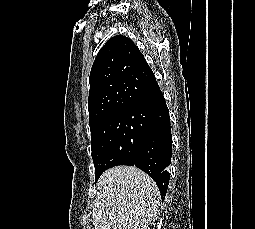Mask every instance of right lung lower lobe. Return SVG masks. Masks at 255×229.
<instances>
[{
    "instance_id": "obj_1",
    "label": "right lung lower lobe",
    "mask_w": 255,
    "mask_h": 229,
    "mask_svg": "<svg viewBox=\"0 0 255 229\" xmlns=\"http://www.w3.org/2000/svg\"><path fill=\"white\" fill-rule=\"evenodd\" d=\"M126 109L141 117L145 124L137 156L129 165L140 168L154 179L164 200L170 179L167 168L171 163L172 136L169 110L157 81L149 95Z\"/></svg>"
}]
</instances>
